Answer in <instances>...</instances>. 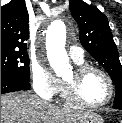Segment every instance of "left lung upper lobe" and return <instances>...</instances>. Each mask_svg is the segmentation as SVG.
<instances>
[{"label": "left lung upper lobe", "instance_id": "5c2ea615", "mask_svg": "<svg viewBox=\"0 0 122 123\" xmlns=\"http://www.w3.org/2000/svg\"><path fill=\"white\" fill-rule=\"evenodd\" d=\"M69 7L79 25L82 46L104 67L115 84L114 104L122 103V66L106 15L82 0H70Z\"/></svg>", "mask_w": 122, "mask_h": 123}]
</instances>
